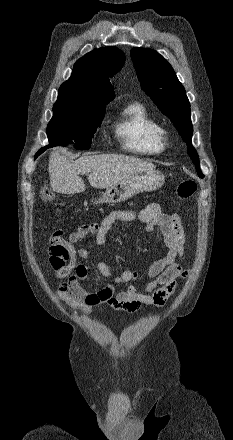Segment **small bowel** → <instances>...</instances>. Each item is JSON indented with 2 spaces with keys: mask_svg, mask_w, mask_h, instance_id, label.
Listing matches in <instances>:
<instances>
[{
  "mask_svg": "<svg viewBox=\"0 0 233 440\" xmlns=\"http://www.w3.org/2000/svg\"><path fill=\"white\" fill-rule=\"evenodd\" d=\"M141 221L148 232L160 231L163 235L167 253L154 261L147 269L151 279L143 287L129 285L115 292L114 286L125 285L137 279L135 270L126 269L113 273L105 262L96 265L98 272L111 280V284L97 291H88L82 281L88 279V268L78 261V257L87 259L88 248L76 249L75 244L92 236L94 243L103 247L107 234L116 222ZM49 264L57 278L68 280L60 285L57 296L67 300L70 305L90 314L94 308L103 312L105 307L128 313L137 312L143 305L161 307L177 288V279H184L188 271L177 261L185 256V235L180 218L177 215L163 214L158 203H150L140 211L116 210L110 212L100 223L84 224L72 232L67 239L57 230L50 238L47 248Z\"/></svg>",
  "mask_w": 233,
  "mask_h": 440,
  "instance_id": "1",
  "label": "small bowel"
}]
</instances>
